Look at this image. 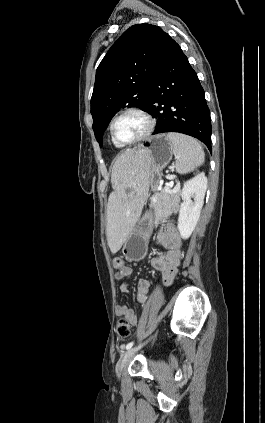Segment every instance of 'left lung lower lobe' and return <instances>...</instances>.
Here are the masks:
<instances>
[{
	"instance_id": "0a47b994",
	"label": "left lung lower lobe",
	"mask_w": 265,
	"mask_h": 423,
	"mask_svg": "<svg viewBox=\"0 0 265 423\" xmlns=\"http://www.w3.org/2000/svg\"><path fill=\"white\" fill-rule=\"evenodd\" d=\"M147 113L158 118L153 134L179 132L211 151V119L204 90L180 46L167 34L153 72Z\"/></svg>"
}]
</instances>
